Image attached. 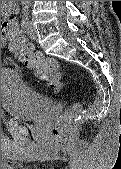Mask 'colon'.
Segmentation results:
<instances>
[{"instance_id":"obj_1","label":"colon","mask_w":121,"mask_h":169,"mask_svg":"<svg viewBox=\"0 0 121 169\" xmlns=\"http://www.w3.org/2000/svg\"><path fill=\"white\" fill-rule=\"evenodd\" d=\"M8 49L16 55L18 60L30 69L35 77L45 82L49 87L60 91L64 82L59 65L52 58H45L40 53L34 52L25 37L16 29L4 33ZM79 110V105L69 107L64 115L52 127V137L57 143H65L73 132L74 120Z\"/></svg>"}]
</instances>
